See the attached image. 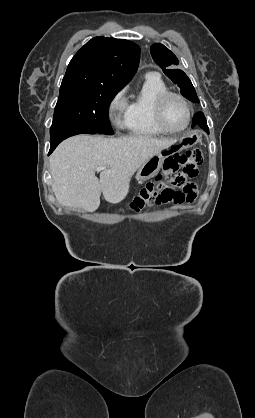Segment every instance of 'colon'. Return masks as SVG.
<instances>
[{"label":"colon","instance_id":"obj_1","mask_svg":"<svg viewBox=\"0 0 255 418\" xmlns=\"http://www.w3.org/2000/svg\"><path fill=\"white\" fill-rule=\"evenodd\" d=\"M202 162L203 155L200 149H192L168 158L164 165L163 176L156 177L140 190L131 201L130 210L139 213L154 202L179 204L195 201L198 191L191 180L197 176Z\"/></svg>","mask_w":255,"mask_h":418}]
</instances>
